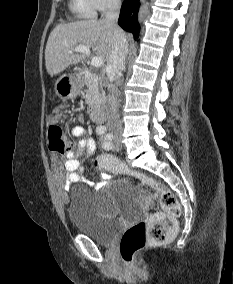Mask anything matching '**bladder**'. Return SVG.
<instances>
[{
    "mask_svg": "<svg viewBox=\"0 0 233 284\" xmlns=\"http://www.w3.org/2000/svg\"><path fill=\"white\" fill-rule=\"evenodd\" d=\"M136 197L135 187L123 180L113 182L104 191L99 203L87 189L75 187L69 195L68 218L75 230L99 244L107 245L121 229V221L116 217L104 215L100 207L113 203L129 206L135 203Z\"/></svg>",
    "mask_w": 233,
    "mask_h": 284,
    "instance_id": "1",
    "label": "bladder"
}]
</instances>
